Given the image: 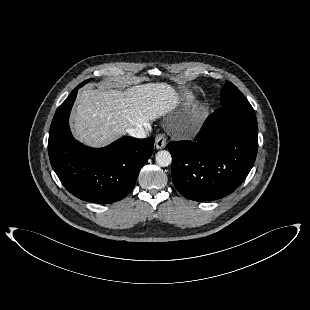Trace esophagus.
I'll return each instance as SVG.
<instances>
[{"mask_svg":"<svg viewBox=\"0 0 310 310\" xmlns=\"http://www.w3.org/2000/svg\"><path fill=\"white\" fill-rule=\"evenodd\" d=\"M166 138L164 137L163 134H158L156 137H155V147L157 149H163L165 148L166 146Z\"/></svg>","mask_w":310,"mask_h":310,"instance_id":"esophagus-1","label":"esophagus"}]
</instances>
